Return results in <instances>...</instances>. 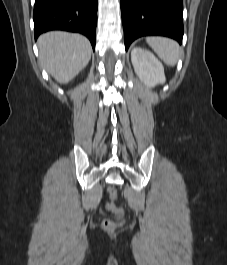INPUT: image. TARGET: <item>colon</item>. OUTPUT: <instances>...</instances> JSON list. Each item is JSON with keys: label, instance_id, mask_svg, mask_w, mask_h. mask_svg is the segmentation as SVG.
<instances>
[{"label": "colon", "instance_id": "colon-1", "mask_svg": "<svg viewBox=\"0 0 227 265\" xmlns=\"http://www.w3.org/2000/svg\"><path fill=\"white\" fill-rule=\"evenodd\" d=\"M108 197H109V202L107 204V208L115 214L122 215L123 214L122 210L118 208L114 203L117 197V190L115 187L111 186L108 188ZM120 224L121 221H115L113 219H105L102 222V227L107 232H114Z\"/></svg>", "mask_w": 227, "mask_h": 265}]
</instances>
